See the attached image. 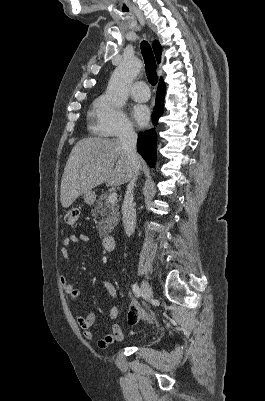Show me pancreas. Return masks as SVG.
<instances>
[{"instance_id":"pancreas-1","label":"pancreas","mask_w":265,"mask_h":401,"mask_svg":"<svg viewBox=\"0 0 265 401\" xmlns=\"http://www.w3.org/2000/svg\"><path fill=\"white\" fill-rule=\"evenodd\" d=\"M92 217L99 219L97 231L100 239L106 237L119 221V207L117 203H110L107 192L100 194L94 209L91 211Z\"/></svg>"}]
</instances>
